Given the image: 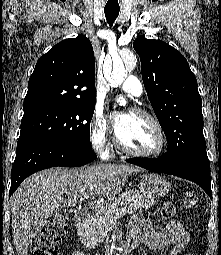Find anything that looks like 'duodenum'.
Instances as JSON below:
<instances>
[{"label":"duodenum","instance_id":"1","mask_svg":"<svg viewBox=\"0 0 221 255\" xmlns=\"http://www.w3.org/2000/svg\"><path fill=\"white\" fill-rule=\"evenodd\" d=\"M74 221L81 229H83L84 232H89L90 221H89V216L86 213L77 212L74 215ZM139 243L140 241L137 238L132 239V243L130 245L129 250L125 252H121L119 255H130L132 251L138 247Z\"/></svg>","mask_w":221,"mask_h":255}]
</instances>
